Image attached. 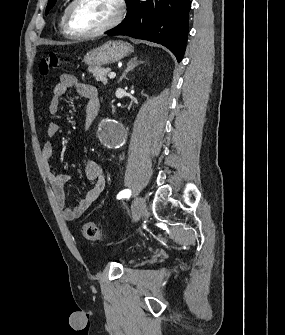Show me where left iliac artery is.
<instances>
[{
  "label": "left iliac artery",
  "mask_w": 285,
  "mask_h": 335,
  "mask_svg": "<svg viewBox=\"0 0 285 335\" xmlns=\"http://www.w3.org/2000/svg\"><path fill=\"white\" fill-rule=\"evenodd\" d=\"M130 195H131V190L125 189V190L119 192V194L117 195V199L126 198Z\"/></svg>",
  "instance_id": "44dca946"
}]
</instances>
